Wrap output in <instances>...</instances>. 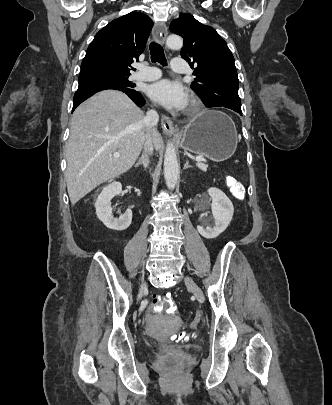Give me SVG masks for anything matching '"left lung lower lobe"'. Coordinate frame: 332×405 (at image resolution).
Masks as SVG:
<instances>
[{"mask_svg": "<svg viewBox=\"0 0 332 405\" xmlns=\"http://www.w3.org/2000/svg\"><path fill=\"white\" fill-rule=\"evenodd\" d=\"M236 112H238L239 114H241L242 115V111L240 110V111H236Z\"/></svg>", "mask_w": 332, "mask_h": 405, "instance_id": "left-lung-lower-lobe-1", "label": "left lung lower lobe"}]
</instances>
